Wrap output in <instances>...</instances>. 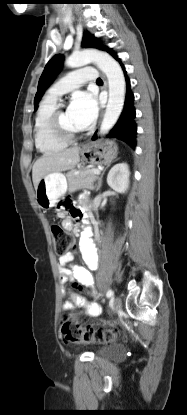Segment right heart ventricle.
I'll return each instance as SVG.
<instances>
[{
    "mask_svg": "<svg viewBox=\"0 0 187 415\" xmlns=\"http://www.w3.org/2000/svg\"><path fill=\"white\" fill-rule=\"evenodd\" d=\"M57 108V101L45 98L37 110L34 120L36 148L43 154H54L66 148L67 143L57 139L50 131L49 121Z\"/></svg>",
    "mask_w": 187,
    "mask_h": 415,
    "instance_id": "e07e8e85",
    "label": "right heart ventricle"
}]
</instances>
